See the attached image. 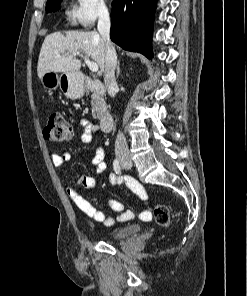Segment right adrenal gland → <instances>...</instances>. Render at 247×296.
Segmentation results:
<instances>
[{"mask_svg": "<svg viewBox=\"0 0 247 296\" xmlns=\"http://www.w3.org/2000/svg\"><path fill=\"white\" fill-rule=\"evenodd\" d=\"M120 75V61L117 62V77Z\"/></svg>", "mask_w": 247, "mask_h": 296, "instance_id": "2a0ac1e0", "label": "right adrenal gland"}]
</instances>
